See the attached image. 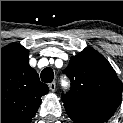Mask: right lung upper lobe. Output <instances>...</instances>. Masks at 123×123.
Returning <instances> with one entry per match:
<instances>
[{
    "label": "right lung upper lobe",
    "instance_id": "right-lung-upper-lobe-1",
    "mask_svg": "<svg viewBox=\"0 0 123 123\" xmlns=\"http://www.w3.org/2000/svg\"><path fill=\"white\" fill-rule=\"evenodd\" d=\"M48 86L29 65V51L12 43L1 49V123H30Z\"/></svg>",
    "mask_w": 123,
    "mask_h": 123
}]
</instances>
